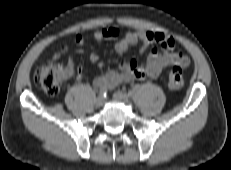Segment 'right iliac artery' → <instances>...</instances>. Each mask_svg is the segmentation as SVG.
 Wrapping results in <instances>:
<instances>
[{
    "instance_id": "right-iliac-artery-1",
    "label": "right iliac artery",
    "mask_w": 231,
    "mask_h": 170,
    "mask_svg": "<svg viewBox=\"0 0 231 170\" xmlns=\"http://www.w3.org/2000/svg\"><path fill=\"white\" fill-rule=\"evenodd\" d=\"M99 95L102 96V97H106V95H107V89L104 88V87L100 88Z\"/></svg>"
}]
</instances>
